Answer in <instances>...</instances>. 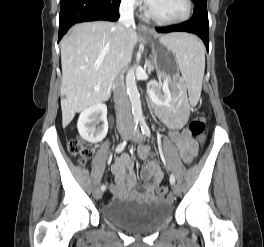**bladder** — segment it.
Segmentation results:
<instances>
[{
    "label": "bladder",
    "mask_w": 264,
    "mask_h": 247,
    "mask_svg": "<svg viewBox=\"0 0 264 247\" xmlns=\"http://www.w3.org/2000/svg\"><path fill=\"white\" fill-rule=\"evenodd\" d=\"M102 217L115 226L132 233L159 228L172 216V205L164 200L141 202L121 200L106 204Z\"/></svg>",
    "instance_id": "1"
}]
</instances>
